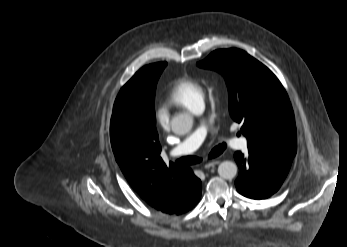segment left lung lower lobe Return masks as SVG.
<instances>
[{"label":"left lung lower lobe","instance_id":"left-lung-lower-lobe-1","mask_svg":"<svg viewBox=\"0 0 347 247\" xmlns=\"http://www.w3.org/2000/svg\"><path fill=\"white\" fill-rule=\"evenodd\" d=\"M293 155L248 150V155L236 152L234 158L239 166L235 181L240 194L252 199H265L278 191L285 180Z\"/></svg>","mask_w":347,"mask_h":247}]
</instances>
